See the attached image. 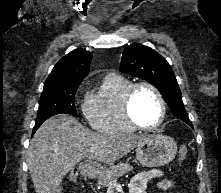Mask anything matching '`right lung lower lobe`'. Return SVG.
I'll return each mask as SVG.
<instances>
[{
    "label": "right lung lower lobe",
    "mask_w": 221,
    "mask_h": 193,
    "mask_svg": "<svg viewBox=\"0 0 221 193\" xmlns=\"http://www.w3.org/2000/svg\"><path fill=\"white\" fill-rule=\"evenodd\" d=\"M42 124V123H41ZM41 124H35L34 128H33V134L36 132V130L39 128V126Z\"/></svg>",
    "instance_id": "right-lung-lower-lobe-1"
}]
</instances>
